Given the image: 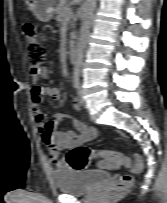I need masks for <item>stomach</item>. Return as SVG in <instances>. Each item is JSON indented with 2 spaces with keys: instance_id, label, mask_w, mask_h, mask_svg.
<instances>
[{
  "instance_id": "0dacf381",
  "label": "stomach",
  "mask_w": 167,
  "mask_h": 203,
  "mask_svg": "<svg viewBox=\"0 0 167 203\" xmlns=\"http://www.w3.org/2000/svg\"><path fill=\"white\" fill-rule=\"evenodd\" d=\"M56 0H25L27 8L42 22L53 18Z\"/></svg>"
}]
</instances>
